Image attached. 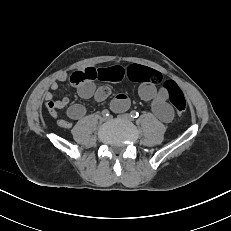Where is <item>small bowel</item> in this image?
<instances>
[{"mask_svg":"<svg viewBox=\"0 0 231 231\" xmlns=\"http://www.w3.org/2000/svg\"><path fill=\"white\" fill-rule=\"evenodd\" d=\"M138 65L124 68L122 66H112L106 68H96L89 66L79 71L84 77L82 83L78 85L77 92L83 99L93 98L97 102L106 100L111 91L107 86L96 87L95 80L118 82L125 77L136 80L135 70ZM58 81H66L67 74L63 73L58 76ZM58 81H53L50 84V90L44 95L46 108L50 114L57 117V110L67 107V116L70 120H79L86 114V108L81 104L69 105L67 97L61 100L54 101L53 91L59 88ZM140 98L143 101L149 102L153 113L163 122H170L173 118V109L169 104V96L165 88L162 86L157 88L154 84L141 81L138 89ZM130 105L129 99L125 94H118L111 102V107L115 112H121L128 109ZM70 120L59 119L58 126L69 129L72 126Z\"/></svg>","mask_w":231,"mask_h":231,"instance_id":"obj_1","label":"small bowel"}]
</instances>
